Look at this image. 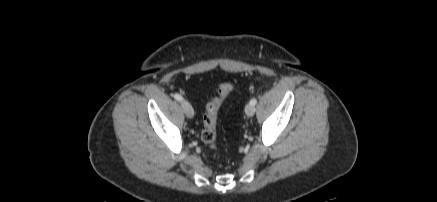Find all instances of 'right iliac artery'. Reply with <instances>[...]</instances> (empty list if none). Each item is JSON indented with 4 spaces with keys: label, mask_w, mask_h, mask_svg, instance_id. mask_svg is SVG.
Wrapping results in <instances>:
<instances>
[{
    "label": "right iliac artery",
    "mask_w": 437,
    "mask_h": 202,
    "mask_svg": "<svg viewBox=\"0 0 437 202\" xmlns=\"http://www.w3.org/2000/svg\"><path fill=\"white\" fill-rule=\"evenodd\" d=\"M174 98L177 100V101H183V97L180 95V94H175L174 95Z\"/></svg>",
    "instance_id": "right-iliac-artery-1"
}]
</instances>
